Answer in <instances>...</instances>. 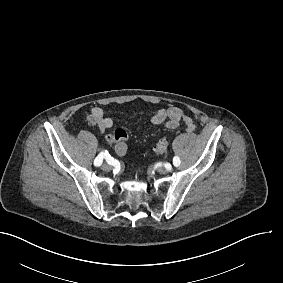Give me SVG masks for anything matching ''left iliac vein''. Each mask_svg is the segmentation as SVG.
Wrapping results in <instances>:
<instances>
[{
	"instance_id": "1",
	"label": "left iliac vein",
	"mask_w": 283,
	"mask_h": 283,
	"mask_svg": "<svg viewBox=\"0 0 283 283\" xmlns=\"http://www.w3.org/2000/svg\"><path fill=\"white\" fill-rule=\"evenodd\" d=\"M158 172L165 173V172H167V170L163 166H160V167H158Z\"/></svg>"
}]
</instances>
